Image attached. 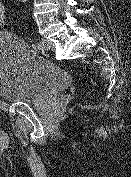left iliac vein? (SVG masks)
Returning <instances> with one entry per match:
<instances>
[{"instance_id":"obj_1","label":"left iliac vein","mask_w":131,"mask_h":177,"mask_svg":"<svg viewBox=\"0 0 131 177\" xmlns=\"http://www.w3.org/2000/svg\"><path fill=\"white\" fill-rule=\"evenodd\" d=\"M43 44V48L41 50H54V44L46 39H41L40 41Z\"/></svg>"}]
</instances>
